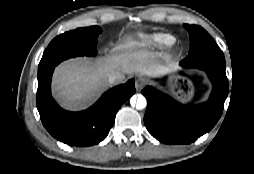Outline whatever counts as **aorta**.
I'll list each match as a JSON object with an SVG mask.
<instances>
[{"mask_svg": "<svg viewBox=\"0 0 254 174\" xmlns=\"http://www.w3.org/2000/svg\"><path fill=\"white\" fill-rule=\"evenodd\" d=\"M131 105L136 106L137 109L141 110L146 107L147 100L143 95L138 94L137 96H133L131 98Z\"/></svg>", "mask_w": 254, "mask_h": 174, "instance_id": "762f6f07", "label": "aorta"}]
</instances>
